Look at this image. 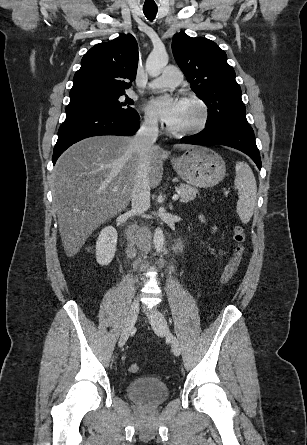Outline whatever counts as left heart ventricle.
Wrapping results in <instances>:
<instances>
[{
  "mask_svg": "<svg viewBox=\"0 0 307 445\" xmlns=\"http://www.w3.org/2000/svg\"><path fill=\"white\" fill-rule=\"evenodd\" d=\"M200 118L199 109L192 103L185 101L179 118L170 126L174 129H181L193 125Z\"/></svg>",
  "mask_w": 307,
  "mask_h": 445,
  "instance_id": "b2bd125f",
  "label": "left heart ventricle"
}]
</instances>
